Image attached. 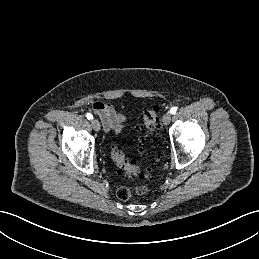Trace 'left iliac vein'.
I'll return each instance as SVG.
<instances>
[{
    "mask_svg": "<svg viewBox=\"0 0 259 259\" xmlns=\"http://www.w3.org/2000/svg\"><path fill=\"white\" fill-rule=\"evenodd\" d=\"M171 118H172V116H171V113H170V112L165 113V114L163 115V118H162L163 124H164L165 126L169 125L170 122H171Z\"/></svg>",
    "mask_w": 259,
    "mask_h": 259,
    "instance_id": "obj_1",
    "label": "left iliac vein"
}]
</instances>
